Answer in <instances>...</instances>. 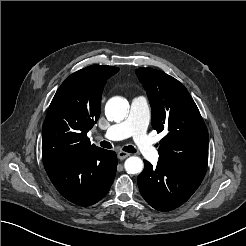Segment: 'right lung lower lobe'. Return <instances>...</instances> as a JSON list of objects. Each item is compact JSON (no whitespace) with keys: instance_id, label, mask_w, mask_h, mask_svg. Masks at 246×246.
<instances>
[{"instance_id":"right-lung-lower-lobe-1","label":"right lung lower lobe","mask_w":246,"mask_h":246,"mask_svg":"<svg viewBox=\"0 0 246 246\" xmlns=\"http://www.w3.org/2000/svg\"><path fill=\"white\" fill-rule=\"evenodd\" d=\"M58 192L80 206H90L104 198L115 178L114 151L97 149L73 153L44 164Z\"/></svg>"}]
</instances>
